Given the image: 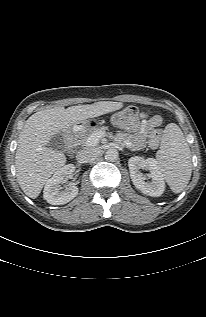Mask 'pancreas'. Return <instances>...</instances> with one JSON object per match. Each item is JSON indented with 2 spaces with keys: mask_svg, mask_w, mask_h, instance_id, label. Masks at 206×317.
<instances>
[{
  "mask_svg": "<svg viewBox=\"0 0 206 317\" xmlns=\"http://www.w3.org/2000/svg\"><path fill=\"white\" fill-rule=\"evenodd\" d=\"M97 133H114V128H106L103 126L91 129H82L76 133L74 140L75 145H85L90 136H96Z\"/></svg>",
  "mask_w": 206,
  "mask_h": 317,
  "instance_id": "1",
  "label": "pancreas"
}]
</instances>
